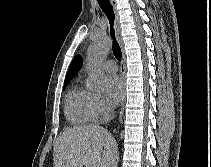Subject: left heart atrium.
Masks as SVG:
<instances>
[{
  "label": "left heart atrium",
  "mask_w": 211,
  "mask_h": 167,
  "mask_svg": "<svg viewBox=\"0 0 211 167\" xmlns=\"http://www.w3.org/2000/svg\"><path fill=\"white\" fill-rule=\"evenodd\" d=\"M105 97L110 106H116L123 95V82L116 75L106 77L104 82Z\"/></svg>",
  "instance_id": "obj_1"
}]
</instances>
